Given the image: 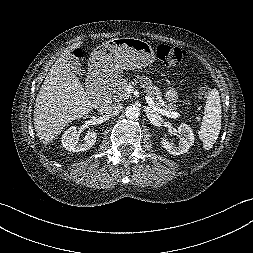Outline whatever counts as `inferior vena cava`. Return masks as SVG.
<instances>
[{
    "label": "inferior vena cava",
    "instance_id": "602c4592",
    "mask_svg": "<svg viewBox=\"0 0 253 253\" xmlns=\"http://www.w3.org/2000/svg\"><path fill=\"white\" fill-rule=\"evenodd\" d=\"M123 109L122 104L114 103L112 105H104L100 108V111L105 112L108 116H114L119 114Z\"/></svg>",
    "mask_w": 253,
    "mask_h": 253
}]
</instances>
